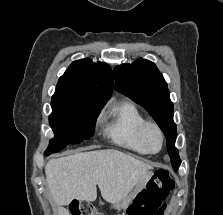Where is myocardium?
<instances>
[{
	"label": "myocardium",
	"instance_id": "1",
	"mask_svg": "<svg viewBox=\"0 0 223 215\" xmlns=\"http://www.w3.org/2000/svg\"><path fill=\"white\" fill-rule=\"evenodd\" d=\"M149 128L154 129L157 132L159 139H160L159 148L156 150H152V149L148 148L145 144V136H146V132ZM139 139H140V143H141L143 151L147 154L159 153L161 151V149L163 147V143H164L163 132H162L161 128L159 127V125L153 121H144V123L141 125L140 130H139Z\"/></svg>",
	"mask_w": 223,
	"mask_h": 215
}]
</instances>
